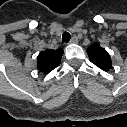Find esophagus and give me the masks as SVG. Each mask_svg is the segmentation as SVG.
<instances>
[{
    "label": "esophagus",
    "mask_w": 127,
    "mask_h": 127,
    "mask_svg": "<svg viewBox=\"0 0 127 127\" xmlns=\"http://www.w3.org/2000/svg\"><path fill=\"white\" fill-rule=\"evenodd\" d=\"M70 43H72V44L78 43V37H77V36H73V37L71 38V40H70Z\"/></svg>",
    "instance_id": "1"
}]
</instances>
